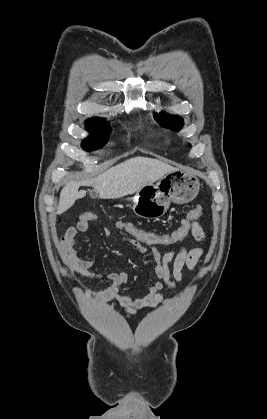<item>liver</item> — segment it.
<instances>
[{
  "mask_svg": "<svg viewBox=\"0 0 267 419\" xmlns=\"http://www.w3.org/2000/svg\"><path fill=\"white\" fill-rule=\"evenodd\" d=\"M174 170L169 164L153 158L138 156L125 160L95 178L67 183L60 192L57 214L64 213L86 195L84 190L78 191L81 185L92 186L100 199H116L133 194Z\"/></svg>",
  "mask_w": 267,
  "mask_h": 419,
  "instance_id": "1",
  "label": "liver"
}]
</instances>
